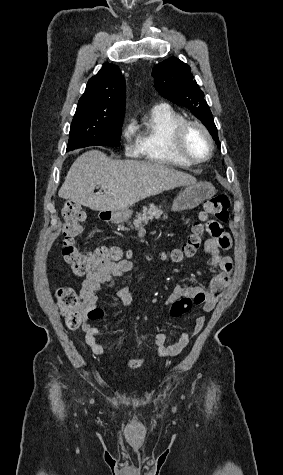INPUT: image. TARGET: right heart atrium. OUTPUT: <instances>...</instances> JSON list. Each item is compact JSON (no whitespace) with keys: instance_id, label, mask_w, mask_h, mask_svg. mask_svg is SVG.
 <instances>
[{"instance_id":"obj_1","label":"right heart atrium","mask_w":283,"mask_h":475,"mask_svg":"<svg viewBox=\"0 0 283 475\" xmlns=\"http://www.w3.org/2000/svg\"><path fill=\"white\" fill-rule=\"evenodd\" d=\"M120 133L123 141V152L126 157H134L138 155L139 146L134 138L133 125L126 120L120 127Z\"/></svg>"}]
</instances>
